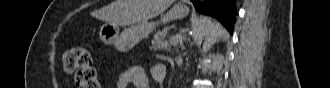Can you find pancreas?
Masks as SVG:
<instances>
[{"label": "pancreas", "mask_w": 330, "mask_h": 88, "mask_svg": "<svg viewBox=\"0 0 330 88\" xmlns=\"http://www.w3.org/2000/svg\"><path fill=\"white\" fill-rule=\"evenodd\" d=\"M168 32V28L163 29L162 31H158L154 35V39L152 40V46L151 49L154 50H170L171 45L175 46L177 45V41H170L169 43L164 40L166 34Z\"/></svg>", "instance_id": "pancreas-1"}]
</instances>
